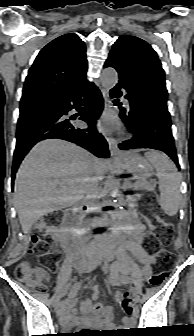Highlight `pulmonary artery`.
<instances>
[{
	"label": "pulmonary artery",
	"mask_w": 194,
	"mask_h": 336,
	"mask_svg": "<svg viewBox=\"0 0 194 336\" xmlns=\"http://www.w3.org/2000/svg\"><path fill=\"white\" fill-rule=\"evenodd\" d=\"M123 101H124V104H125L126 106L129 105V101H128V99L124 98Z\"/></svg>",
	"instance_id": "obj_1"
}]
</instances>
